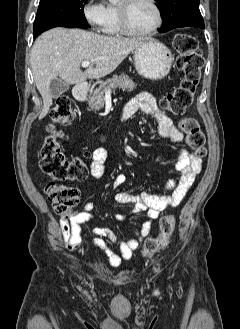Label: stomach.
<instances>
[{"instance_id": "stomach-1", "label": "stomach", "mask_w": 240, "mask_h": 329, "mask_svg": "<svg viewBox=\"0 0 240 329\" xmlns=\"http://www.w3.org/2000/svg\"><path fill=\"white\" fill-rule=\"evenodd\" d=\"M133 58L139 75L158 80L169 73L174 56L164 44L149 38L134 50Z\"/></svg>"}]
</instances>
